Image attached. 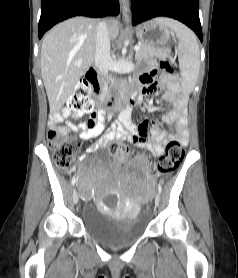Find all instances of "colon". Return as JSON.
I'll return each mask as SVG.
<instances>
[{
  "mask_svg": "<svg viewBox=\"0 0 238 278\" xmlns=\"http://www.w3.org/2000/svg\"><path fill=\"white\" fill-rule=\"evenodd\" d=\"M163 78H174V70L168 61L161 62ZM67 108L81 113L93 111L94 103L91 98L90 83L88 80L81 81L69 97ZM48 144L52 152L53 160L59 168H67L71 165L73 155L80 147V139L74 129L61 131L50 129L48 131ZM110 153L116 158L127 156L128 149L121 143H113L109 147ZM184 158V148L177 141H170L165 153L160 157L157 164L158 173L164 177L172 173Z\"/></svg>",
  "mask_w": 238,
  "mask_h": 278,
  "instance_id": "obj_1",
  "label": "colon"
}]
</instances>
